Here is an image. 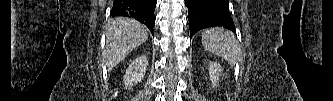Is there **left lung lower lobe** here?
<instances>
[{
    "label": "left lung lower lobe",
    "instance_id": "obj_1",
    "mask_svg": "<svg viewBox=\"0 0 333 101\" xmlns=\"http://www.w3.org/2000/svg\"><path fill=\"white\" fill-rule=\"evenodd\" d=\"M185 5L188 8L190 39L197 31L213 26L236 32L228 0H185Z\"/></svg>",
    "mask_w": 333,
    "mask_h": 101
}]
</instances>
